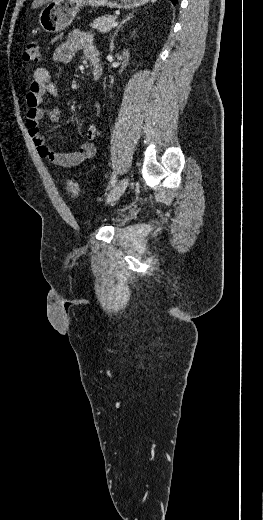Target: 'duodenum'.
Returning <instances> with one entry per match:
<instances>
[{
  "instance_id": "obj_1",
  "label": "duodenum",
  "mask_w": 263,
  "mask_h": 520,
  "mask_svg": "<svg viewBox=\"0 0 263 520\" xmlns=\"http://www.w3.org/2000/svg\"><path fill=\"white\" fill-rule=\"evenodd\" d=\"M88 58L93 66V78L94 80H98L102 73L101 59L99 53L97 51L92 52Z\"/></svg>"
}]
</instances>
